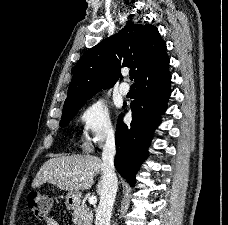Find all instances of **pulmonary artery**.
<instances>
[{
  "label": "pulmonary artery",
  "mask_w": 228,
  "mask_h": 225,
  "mask_svg": "<svg viewBox=\"0 0 228 225\" xmlns=\"http://www.w3.org/2000/svg\"><path fill=\"white\" fill-rule=\"evenodd\" d=\"M118 89H119V92H120L121 95L126 96L129 93L130 87H129L128 83L122 82L119 85Z\"/></svg>",
  "instance_id": "e3ab8cb5"
}]
</instances>
